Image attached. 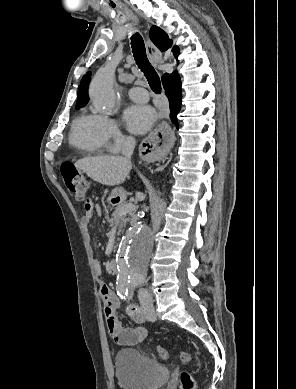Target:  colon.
I'll list each match as a JSON object with an SVG mask.
<instances>
[{"label":"colon","mask_w":296,"mask_h":389,"mask_svg":"<svg viewBox=\"0 0 296 389\" xmlns=\"http://www.w3.org/2000/svg\"><path fill=\"white\" fill-rule=\"evenodd\" d=\"M61 175L63 177L66 187L75 194L76 198L80 201L86 197L88 184L85 175L76 169L72 163H64L61 166ZM158 354L161 358L167 359L169 353L166 349L159 347L157 349ZM179 358L183 363H189L191 356L189 353L181 351ZM180 387L181 389H194L195 380L188 371H182L180 373Z\"/></svg>","instance_id":"5ec220e1"}]
</instances>
